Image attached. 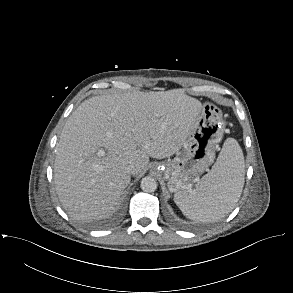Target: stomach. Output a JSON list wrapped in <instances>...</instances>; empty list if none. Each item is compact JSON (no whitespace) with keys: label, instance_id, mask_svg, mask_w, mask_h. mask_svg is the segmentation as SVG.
I'll return each mask as SVG.
<instances>
[{"label":"stomach","instance_id":"1","mask_svg":"<svg viewBox=\"0 0 293 293\" xmlns=\"http://www.w3.org/2000/svg\"><path fill=\"white\" fill-rule=\"evenodd\" d=\"M224 129L221 110L211 102L204 103L193 130L175 157L158 165L159 170L164 172L170 192L185 189L208 170Z\"/></svg>","mask_w":293,"mask_h":293}]
</instances>
